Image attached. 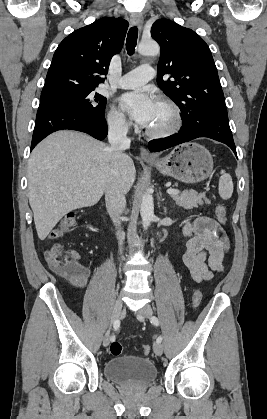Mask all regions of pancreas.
Here are the masks:
<instances>
[{"label": "pancreas", "mask_w": 267, "mask_h": 419, "mask_svg": "<svg viewBox=\"0 0 267 419\" xmlns=\"http://www.w3.org/2000/svg\"><path fill=\"white\" fill-rule=\"evenodd\" d=\"M173 200L176 204L184 209L197 208L199 205L210 204L211 202L206 198L204 193H198L194 190H185L181 194L173 195Z\"/></svg>", "instance_id": "1"}]
</instances>
